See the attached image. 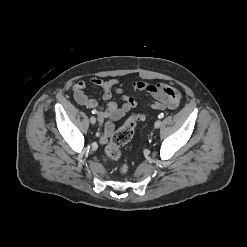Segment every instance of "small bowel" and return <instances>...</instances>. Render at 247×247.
<instances>
[{"label": "small bowel", "mask_w": 247, "mask_h": 247, "mask_svg": "<svg viewBox=\"0 0 247 247\" xmlns=\"http://www.w3.org/2000/svg\"><path fill=\"white\" fill-rule=\"evenodd\" d=\"M88 85H94L102 89L103 99L108 101L106 105L101 106L95 99L89 98L85 89ZM136 93L146 92L152 98L150 106L154 109H175L181 100L180 91L167 83L152 84L146 81H133L131 83ZM122 94L123 89L118 79L103 80L93 78L88 83L78 81L73 86L74 100L89 109L98 113L99 121L102 126L101 142L105 143L114 130V122L124 117L129 111L137 106V100L132 96H122L124 103L119 106L111 101L113 93Z\"/></svg>", "instance_id": "obj_1"}]
</instances>
